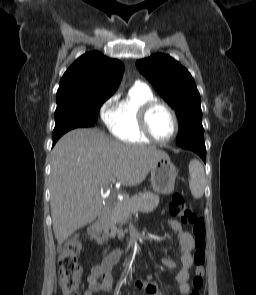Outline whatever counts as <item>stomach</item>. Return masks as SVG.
Segmentation results:
<instances>
[{
    "mask_svg": "<svg viewBox=\"0 0 256 295\" xmlns=\"http://www.w3.org/2000/svg\"><path fill=\"white\" fill-rule=\"evenodd\" d=\"M177 169L169 156L157 160L151 169V185L154 191L161 194H170L174 190Z\"/></svg>",
    "mask_w": 256,
    "mask_h": 295,
    "instance_id": "stomach-1",
    "label": "stomach"
}]
</instances>
